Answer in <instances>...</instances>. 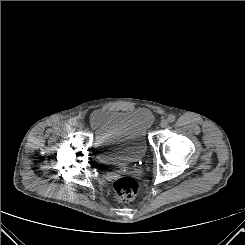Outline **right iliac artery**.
<instances>
[{
    "mask_svg": "<svg viewBox=\"0 0 245 245\" xmlns=\"http://www.w3.org/2000/svg\"><path fill=\"white\" fill-rule=\"evenodd\" d=\"M76 122H77V120H76L75 118H71V119H69V121H68L69 125H71V126L75 125Z\"/></svg>",
    "mask_w": 245,
    "mask_h": 245,
    "instance_id": "1",
    "label": "right iliac artery"
}]
</instances>
